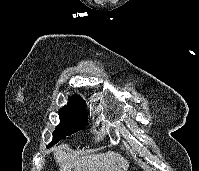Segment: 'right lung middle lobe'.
<instances>
[{"mask_svg":"<svg viewBox=\"0 0 199 171\" xmlns=\"http://www.w3.org/2000/svg\"><path fill=\"white\" fill-rule=\"evenodd\" d=\"M60 124L53 132V145L60 139L82 130L88 123L85 105L67 104L59 110Z\"/></svg>","mask_w":199,"mask_h":171,"instance_id":"obj_1","label":"right lung middle lobe"}]
</instances>
